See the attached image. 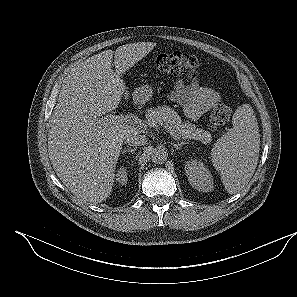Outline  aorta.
I'll list each match as a JSON object with an SVG mask.
<instances>
[{"label":"aorta","instance_id":"1","mask_svg":"<svg viewBox=\"0 0 297 297\" xmlns=\"http://www.w3.org/2000/svg\"><path fill=\"white\" fill-rule=\"evenodd\" d=\"M168 153L165 148H155L151 152V159L156 164H162L167 161Z\"/></svg>","mask_w":297,"mask_h":297}]
</instances>
